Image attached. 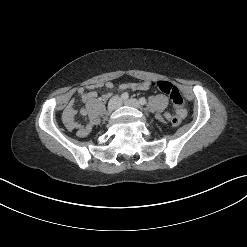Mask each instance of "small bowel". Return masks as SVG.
<instances>
[{
    "label": "small bowel",
    "mask_w": 247,
    "mask_h": 247,
    "mask_svg": "<svg viewBox=\"0 0 247 247\" xmlns=\"http://www.w3.org/2000/svg\"><path fill=\"white\" fill-rule=\"evenodd\" d=\"M105 86L106 88H113V83L111 82H106V83H96L90 86V88L95 89V88H99ZM150 88V83L147 81H143V82H126V83H122L118 86V89L120 91H125V90H148ZM78 94L80 95L81 99L84 102H89L95 98H97L98 94L95 91H86L84 88H79L78 89ZM176 112L181 116L184 117L186 112L185 109L181 108L180 110H176ZM77 111L75 109V99H71L69 101V103L67 104L64 113H63V122L65 127L69 130V131H75L76 134L79 137H85L87 136L91 130H92V124L91 123H86V124H81L78 123L75 120V115H76ZM80 114L82 116H86L87 115V110L85 108H82L80 110ZM167 118L170 117L169 114L166 115Z\"/></svg>",
    "instance_id": "obj_1"
}]
</instances>
